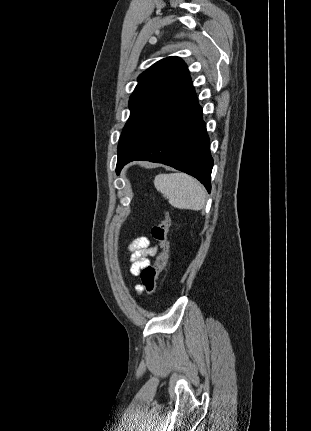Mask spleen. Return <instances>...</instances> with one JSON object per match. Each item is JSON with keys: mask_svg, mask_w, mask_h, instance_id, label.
<instances>
[{"mask_svg": "<svg viewBox=\"0 0 311 431\" xmlns=\"http://www.w3.org/2000/svg\"><path fill=\"white\" fill-rule=\"evenodd\" d=\"M154 186L173 208L202 210L205 206V188L187 174H158Z\"/></svg>", "mask_w": 311, "mask_h": 431, "instance_id": "3e777b00", "label": "spleen"}]
</instances>
